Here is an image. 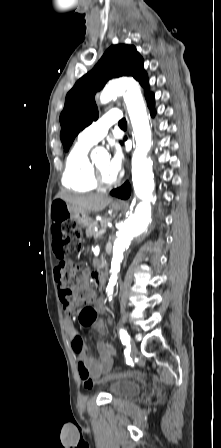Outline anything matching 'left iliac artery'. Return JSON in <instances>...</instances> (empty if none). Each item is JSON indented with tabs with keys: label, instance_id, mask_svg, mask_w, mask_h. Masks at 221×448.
I'll return each mask as SVG.
<instances>
[{
	"label": "left iliac artery",
	"instance_id": "1",
	"mask_svg": "<svg viewBox=\"0 0 221 448\" xmlns=\"http://www.w3.org/2000/svg\"><path fill=\"white\" fill-rule=\"evenodd\" d=\"M120 339L124 345L130 344V336L127 331L124 329H120Z\"/></svg>",
	"mask_w": 221,
	"mask_h": 448
}]
</instances>
